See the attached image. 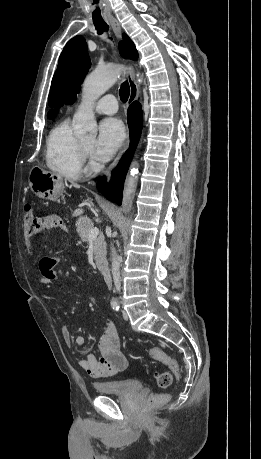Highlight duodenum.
<instances>
[{
	"instance_id": "1",
	"label": "duodenum",
	"mask_w": 261,
	"mask_h": 459,
	"mask_svg": "<svg viewBox=\"0 0 261 459\" xmlns=\"http://www.w3.org/2000/svg\"><path fill=\"white\" fill-rule=\"evenodd\" d=\"M100 270H101L106 282L108 284H111L112 278H111V272H110L109 267L107 265L102 264V265H100Z\"/></svg>"
}]
</instances>
